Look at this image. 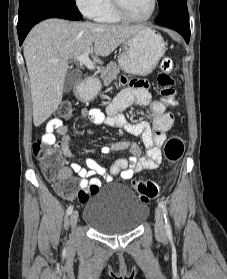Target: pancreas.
<instances>
[{"label": "pancreas", "mask_w": 227, "mask_h": 279, "mask_svg": "<svg viewBox=\"0 0 227 279\" xmlns=\"http://www.w3.org/2000/svg\"><path fill=\"white\" fill-rule=\"evenodd\" d=\"M120 69L116 63L110 62L106 68L101 71V79L104 82V85H109L114 79H116L119 74Z\"/></svg>", "instance_id": "cf45deb5"}]
</instances>
